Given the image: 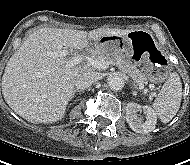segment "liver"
<instances>
[{"label": "liver", "instance_id": "1", "mask_svg": "<svg viewBox=\"0 0 190 165\" xmlns=\"http://www.w3.org/2000/svg\"><path fill=\"white\" fill-rule=\"evenodd\" d=\"M131 30L98 28L90 32L44 27L25 38L9 59L2 76V94L19 116L32 123L52 124L63 118L76 77L90 71L81 64L66 67L64 57L51 53L82 50L103 36H125Z\"/></svg>", "mask_w": 190, "mask_h": 165}]
</instances>
